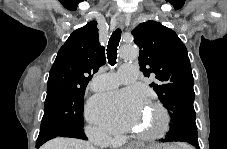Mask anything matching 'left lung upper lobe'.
<instances>
[{
  "label": "left lung upper lobe",
  "mask_w": 227,
  "mask_h": 149,
  "mask_svg": "<svg viewBox=\"0 0 227 149\" xmlns=\"http://www.w3.org/2000/svg\"><path fill=\"white\" fill-rule=\"evenodd\" d=\"M140 48L139 65L145 76L155 75L150 87L171 116L170 126L195 125L193 75L185 45L177 34L156 21L133 31Z\"/></svg>",
  "instance_id": "left-lung-upper-lobe-1"
}]
</instances>
